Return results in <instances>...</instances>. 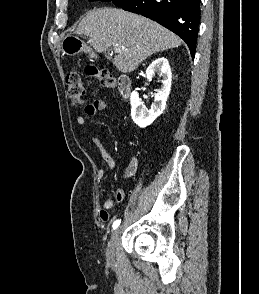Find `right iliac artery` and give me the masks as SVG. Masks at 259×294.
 Wrapping results in <instances>:
<instances>
[{"instance_id": "82829eb1", "label": "right iliac artery", "mask_w": 259, "mask_h": 294, "mask_svg": "<svg viewBox=\"0 0 259 294\" xmlns=\"http://www.w3.org/2000/svg\"><path fill=\"white\" fill-rule=\"evenodd\" d=\"M120 223H121L120 219L115 220L113 225H112L113 229H116L120 225Z\"/></svg>"}]
</instances>
